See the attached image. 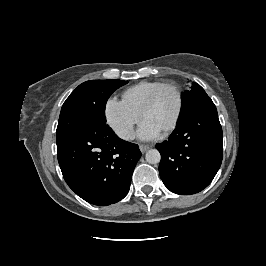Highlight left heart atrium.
<instances>
[{
    "label": "left heart atrium",
    "mask_w": 266,
    "mask_h": 266,
    "mask_svg": "<svg viewBox=\"0 0 266 266\" xmlns=\"http://www.w3.org/2000/svg\"><path fill=\"white\" fill-rule=\"evenodd\" d=\"M160 129L147 120H143L138 130V137L142 140H151L159 136Z\"/></svg>",
    "instance_id": "obj_1"
}]
</instances>
